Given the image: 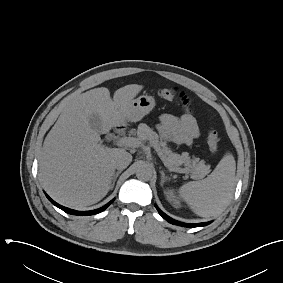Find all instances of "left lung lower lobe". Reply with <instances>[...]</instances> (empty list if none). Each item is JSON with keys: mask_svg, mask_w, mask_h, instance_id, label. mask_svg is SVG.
<instances>
[{"mask_svg": "<svg viewBox=\"0 0 283 283\" xmlns=\"http://www.w3.org/2000/svg\"><path fill=\"white\" fill-rule=\"evenodd\" d=\"M159 212V214L164 218L166 219L169 223L171 224H175V225H179V226H184V227H200V226H206L208 225L209 223H198V224H189V223H182V222H179V221H176L172 218H170L169 216H167L164 212H162L157 206H155Z\"/></svg>", "mask_w": 283, "mask_h": 283, "instance_id": "0a47b994", "label": "left lung lower lobe"}]
</instances>
